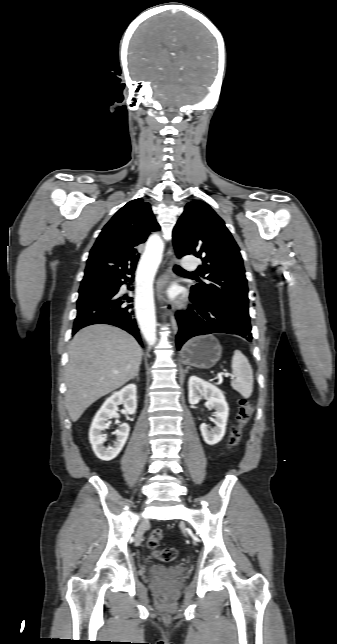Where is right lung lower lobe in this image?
<instances>
[{
	"mask_svg": "<svg viewBox=\"0 0 337 644\" xmlns=\"http://www.w3.org/2000/svg\"><path fill=\"white\" fill-rule=\"evenodd\" d=\"M136 267H131L113 280L111 290L90 300L77 303V316L74 321L72 334L79 329L93 324H110L126 330L132 334L139 344L142 340L135 319L131 297L121 296L119 288L127 281H133ZM124 279V281H122ZM130 284V283H129Z\"/></svg>",
	"mask_w": 337,
	"mask_h": 644,
	"instance_id": "right-lung-lower-lobe-1",
	"label": "right lung lower lobe"
}]
</instances>
